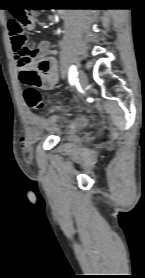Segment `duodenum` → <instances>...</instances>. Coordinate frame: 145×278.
I'll use <instances>...</instances> for the list:
<instances>
[{"label": "duodenum", "instance_id": "1", "mask_svg": "<svg viewBox=\"0 0 145 278\" xmlns=\"http://www.w3.org/2000/svg\"><path fill=\"white\" fill-rule=\"evenodd\" d=\"M60 17L64 18L65 17V13L63 11L60 12Z\"/></svg>", "mask_w": 145, "mask_h": 278}]
</instances>
